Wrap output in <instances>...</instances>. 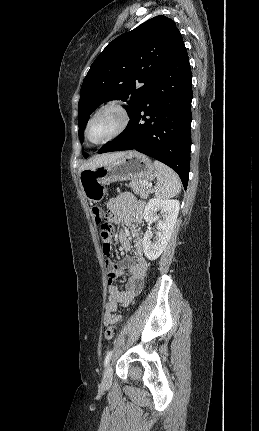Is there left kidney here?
I'll list each match as a JSON object with an SVG mask.
<instances>
[{"label":"left kidney","mask_w":259,"mask_h":431,"mask_svg":"<svg viewBox=\"0 0 259 431\" xmlns=\"http://www.w3.org/2000/svg\"><path fill=\"white\" fill-rule=\"evenodd\" d=\"M179 210L180 203L178 200L152 198L147 203L143 214L146 222L150 223L154 221L158 211H161L162 214V220L157 224L158 231L154 242L151 241L152 235L148 230L143 237L144 254L149 260H156L166 248L171 238Z\"/></svg>","instance_id":"1"}]
</instances>
